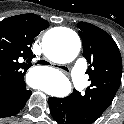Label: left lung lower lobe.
Wrapping results in <instances>:
<instances>
[{"instance_id": "1", "label": "left lung lower lobe", "mask_w": 124, "mask_h": 124, "mask_svg": "<svg viewBox=\"0 0 124 124\" xmlns=\"http://www.w3.org/2000/svg\"><path fill=\"white\" fill-rule=\"evenodd\" d=\"M48 102L50 113L59 124H83L76 112L72 94L65 98L51 97Z\"/></svg>"}]
</instances>
